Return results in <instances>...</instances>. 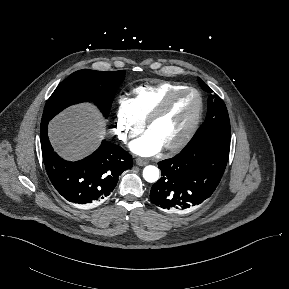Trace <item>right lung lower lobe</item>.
<instances>
[{"mask_svg":"<svg viewBox=\"0 0 289 289\" xmlns=\"http://www.w3.org/2000/svg\"><path fill=\"white\" fill-rule=\"evenodd\" d=\"M47 126L48 122L40 128L45 168L55 189L71 203L95 205L102 202L114 190L121 173L133 165L130 154L105 140L90 156L76 162L65 161L53 151Z\"/></svg>","mask_w":289,"mask_h":289,"instance_id":"98d812e1","label":"right lung lower lobe"}]
</instances>
